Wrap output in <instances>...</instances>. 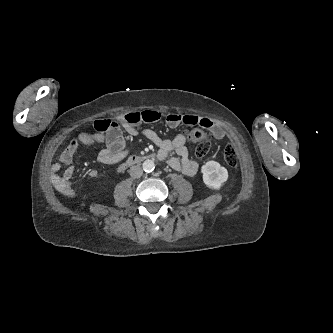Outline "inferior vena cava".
I'll return each instance as SVG.
<instances>
[{"label":"inferior vena cava","instance_id":"inferior-vena-cava-1","mask_svg":"<svg viewBox=\"0 0 333 333\" xmlns=\"http://www.w3.org/2000/svg\"><path fill=\"white\" fill-rule=\"evenodd\" d=\"M129 174L133 178H140L143 174V170L140 166H132L129 170Z\"/></svg>","mask_w":333,"mask_h":333}]
</instances>
